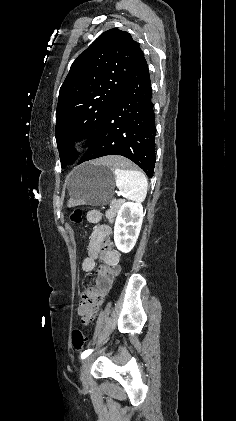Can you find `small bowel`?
<instances>
[{"instance_id": "small-bowel-1", "label": "small bowel", "mask_w": 236, "mask_h": 421, "mask_svg": "<svg viewBox=\"0 0 236 421\" xmlns=\"http://www.w3.org/2000/svg\"><path fill=\"white\" fill-rule=\"evenodd\" d=\"M87 219L90 223L97 224L90 241V250L92 252L91 256H93V252L96 250L99 241L104 240L110 236L111 228L107 225L99 224L101 220V213L97 210H91L88 212ZM78 313L83 315L82 307L78 308Z\"/></svg>"}]
</instances>
